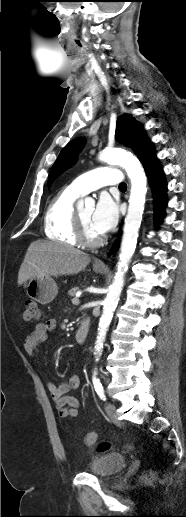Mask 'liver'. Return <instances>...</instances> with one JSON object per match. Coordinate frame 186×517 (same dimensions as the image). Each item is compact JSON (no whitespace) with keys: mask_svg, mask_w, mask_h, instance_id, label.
<instances>
[{"mask_svg":"<svg viewBox=\"0 0 186 517\" xmlns=\"http://www.w3.org/2000/svg\"><path fill=\"white\" fill-rule=\"evenodd\" d=\"M88 254L50 241L30 244L18 273V285L34 278L77 274L89 264Z\"/></svg>","mask_w":186,"mask_h":517,"instance_id":"liver-1","label":"liver"}]
</instances>
